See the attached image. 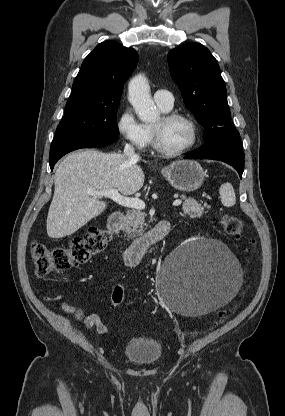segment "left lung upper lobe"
Returning <instances> with one entry per match:
<instances>
[{
    "instance_id": "left-lung-upper-lobe-1",
    "label": "left lung upper lobe",
    "mask_w": 285,
    "mask_h": 416,
    "mask_svg": "<svg viewBox=\"0 0 285 416\" xmlns=\"http://www.w3.org/2000/svg\"><path fill=\"white\" fill-rule=\"evenodd\" d=\"M168 63L185 106L205 128L204 139L239 136L230 123L226 86L216 59L199 43H185L170 50Z\"/></svg>"
}]
</instances>
